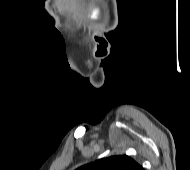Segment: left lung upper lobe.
I'll list each match as a JSON object with an SVG mask.
<instances>
[{
	"label": "left lung upper lobe",
	"mask_w": 190,
	"mask_h": 170,
	"mask_svg": "<svg viewBox=\"0 0 190 170\" xmlns=\"http://www.w3.org/2000/svg\"><path fill=\"white\" fill-rule=\"evenodd\" d=\"M76 170H144L127 155H115L83 165Z\"/></svg>",
	"instance_id": "5c2ea615"
}]
</instances>
